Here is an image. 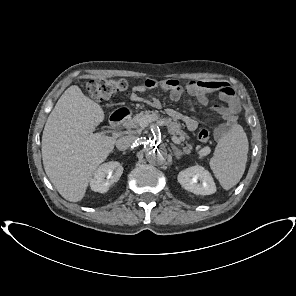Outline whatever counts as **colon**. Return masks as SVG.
<instances>
[{"label":"colon","mask_w":296,"mask_h":296,"mask_svg":"<svg viewBox=\"0 0 296 296\" xmlns=\"http://www.w3.org/2000/svg\"><path fill=\"white\" fill-rule=\"evenodd\" d=\"M127 88L128 83L124 79H99L90 81L85 86L88 95L97 101L123 94L127 91ZM198 139L202 143H207L210 140V131L202 128L198 133Z\"/></svg>","instance_id":"1"}]
</instances>
